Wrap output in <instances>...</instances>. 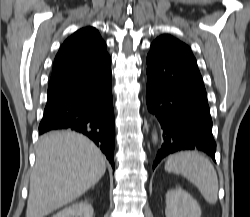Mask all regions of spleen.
Returning a JSON list of instances; mask_svg holds the SVG:
<instances>
[{
	"label": "spleen",
	"mask_w": 250,
	"mask_h": 217,
	"mask_svg": "<svg viewBox=\"0 0 250 217\" xmlns=\"http://www.w3.org/2000/svg\"><path fill=\"white\" fill-rule=\"evenodd\" d=\"M165 170L183 175L200 190L208 203L217 202L218 177L208 158L194 151L179 152L167 158Z\"/></svg>",
	"instance_id": "1"
}]
</instances>
